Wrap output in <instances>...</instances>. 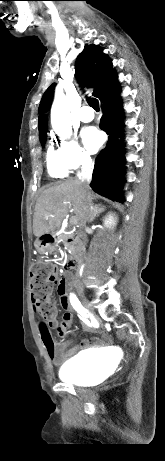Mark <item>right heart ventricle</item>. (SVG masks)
Wrapping results in <instances>:
<instances>
[{
  "label": "right heart ventricle",
  "mask_w": 165,
  "mask_h": 461,
  "mask_svg": "<svg viewBox=\"0 0 165 461\" xmlns=\"http://www.w3.org/2000/svg\"><path fill=\"white\" fill-rule=\"evenodd\" d=\"M47 170L53 178H64L68 175V169L60 161L57 151H54L52 147H49L47 151Z\"/></svg>",
  "instance_id": "e07e8e85"
}]
</instances>
